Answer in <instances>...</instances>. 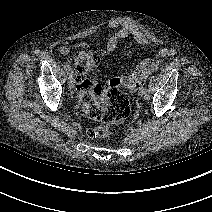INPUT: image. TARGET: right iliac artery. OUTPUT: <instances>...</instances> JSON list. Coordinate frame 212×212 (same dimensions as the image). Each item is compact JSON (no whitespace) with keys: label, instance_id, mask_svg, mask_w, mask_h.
Returning <instances> with one entry per match:
<instances>
[{"label":"right iliac artery","instance_id":"1","mask_svg":"<svg viewBox=\"0 0 212 212\" xmlns=\"http://www.w3.org/2000/svg\"><path fill=\"white\" fill-rule=\"evenodd\" d=\"M65 69H66V71L68 72V74H72V70H71V67H70L69 64H66V65H65Z\"/></svg>","mask_w":212,"mask_h":212}]
</instances>
